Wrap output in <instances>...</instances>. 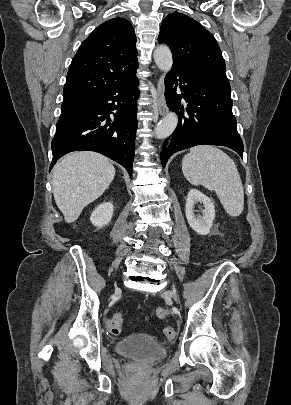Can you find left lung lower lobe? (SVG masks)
<instances>
[{
    "instance_id": "obj_1",
    "label": "left lung lower lobe",
    "mask_w": 291,
    "mask_h": 405,
    "mask_svg": "<svg viewBox=\"0 0 291 405\" xmlns=\"http://www.w3.org/2000/svg\"><path fill=\"white\" fill-rule=\"evenodd\" d=\"M178 85L182 94L175 92ZM165 97L169 109L178 112L179 121L163 144V167L174 153L203 144L227 146L243 158V142L225 75L173 66L165 77ZM181 99L187 103L186 113Z\"/></svg>"
}]
</instances>
